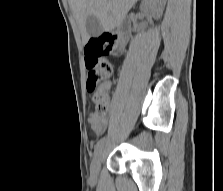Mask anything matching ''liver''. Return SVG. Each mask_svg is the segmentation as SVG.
Masks as SVG:
<instances>
[{
    "label": "liver",
    "instance_id": "obj_1",
    "mask_svg": "<svg viewBox=\"0 0 223 191\" xmlns=\"http://www.w3.org/2000/svg\"><path fill=\"white\" fill-rule=\"evenodd\" d=\"M138 0H69L70 8L87 43L90 36L86 30L88 16L98 18L105 31H112L121 24L129 10Z\"/></svg>",
    "mask_w": 223,
    "mask_h": 191
}]
</instances>
